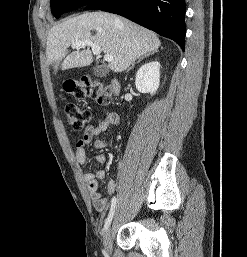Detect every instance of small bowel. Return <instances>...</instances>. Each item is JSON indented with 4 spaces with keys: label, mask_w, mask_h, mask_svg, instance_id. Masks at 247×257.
Wrapping results in <instances>:
<instances>
[{
    "label": "small bowel",
    "mask_w": 247,
    "mask_h": 257,
    "mask_svg": "<svg viewBox=\"0 0 247 257\" xmlns=\"http://www.w3.org/2000/svg\"><path fill=\"white\" fill-rule=\"evenodd\" d=\"M119 122V115L117 113L110 112L100 120L97 125L86 128L84 134L77 141L75 146V157L81 166H84L87 163L85 147L90 144L95 137L108 130L109 127L117 126ZM108 144V141L99 139L94 141L93 147L98 150L106 147ZM96 160L100 165H104L106 164L107 158L104 154H99L97 155ZM105 176L106 172L104 169H99L94 173L87 172L84 174V180L87 183L93 206L100 213H104L108 209V200L103 197L99 191V181L103 180ZM116 188L117 185L115 180H110L107 184L108 194L113 195L116 192Z\"/></svg>",
    "instance_id": "obj_1"
}]
</instances>
